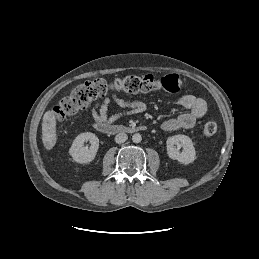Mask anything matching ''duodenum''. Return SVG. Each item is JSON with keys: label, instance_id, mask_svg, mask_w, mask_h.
Segmentation results:
<instances>
[{"label": "duodenum", "instance_id": "obj_1", "mask_svg": "<svg viewBox=\"0 0 259 259\" xmlns=\"http://www.w3.org/2000/svg\"><path fill=\"white\" fill-rule=\"evenodd\" d=\"M95 128L104 134H118V133H137L146 130L143 125L138 126H123L116 124L98 123L95 124Z\"/></svg>", "mask_w": 259, "mask_h": 259}]
</instances>
